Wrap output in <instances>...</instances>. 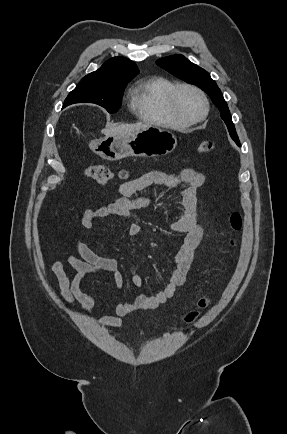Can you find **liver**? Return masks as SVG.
I'll return each mask as SVG.
<instances>
[{"label":"liver","instance_id":"obj_1","mask_svg":"<svg viewBox=\"0 0 287 434\" xmlns=\"http://www.w3.org/2000/svg\"><path fill=\"white\" fill-rule=\"evenodd\" d=\"M147 127H149V125L144 123L123 124L117 127L105 128L102 130V133L105 136H112V135L125 136V135H132L135 132Z\"/></svg>","mask_w":287,"mask_h":434}]
</instances>
